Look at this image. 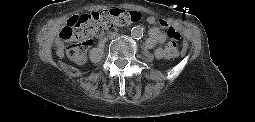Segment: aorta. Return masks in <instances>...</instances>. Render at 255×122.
<instances>
[{"mask_svg":"<svg viewBox=\"0 0 255 122\" xmlns=\"http://www.w3.org/2000/svg\"><path fill=\"white\" fill-rule=\"evenodd\" d=\"M131 35L135 39H139L143 36V28L140 26H135L131 29Z\"/></svg>","mask_w":255,"mask_h":122,"instance_id":"obj_1","label":"aorta"}]
</instances>
